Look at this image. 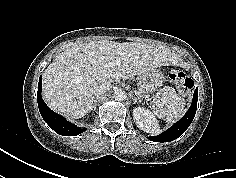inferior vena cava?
<instances>
[{"label":"inferior vena cava","instance_id":"1","mask_svg":"<svg viewBox=\"0 0 236 178\" xmlns=\"http://www.w3.org/2000/svg\"><path fill=\"white\" fill-rule=\"evenodd\" d=\"M110 86H111L110 82H106V83H102V84L97 85V87L94 89V95L96 97L100 96L101 94L106 92Z\"/></svg>","mask_w":236,"mask_h":178}]
</instances>
